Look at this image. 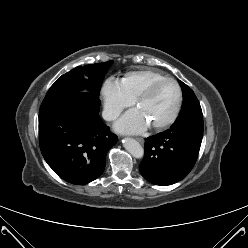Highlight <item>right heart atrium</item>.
Wrapping results in <instances>:
<instances>
[{
    "instance_id": "obj_1",
    "label": "right heart atrium",
    "mask_w": 248,
    "mask_h": 248,
    "mask_svg": "<svg viewBox=\"0 0 248 248\" xmlns=\"http://www.w3.org/2000/svg\"><path fill=\"white\" fill-rule=\"evenodd\" d=\"M104 115L108 121L116 119L120 113L133 103L124 90L121 81L108 78L102 87Z\"/></svg>"
}]
</instances>
